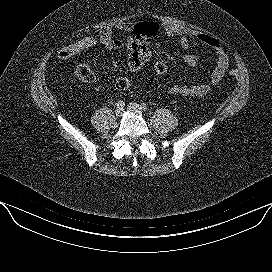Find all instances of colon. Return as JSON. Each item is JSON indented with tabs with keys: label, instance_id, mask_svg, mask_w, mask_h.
<instances>
[{
	"label": "colon",
	"instance_id": "obj_1",
	"mask_svg": "<svg viewBox=\"0 0 272 272\" xmlns=\"http://www.w3.org/2000/svg\"><path fill=\"white\" fill-rule=\"evenodd\" d=\"M159 27L155 22H141L135 26L134 33L141 38L142 41L146 42V39L155 35ZM108 41L97 34H86L76 38L68 45L62 46L57 51V57L61 60L70 59L86 50L92 49L98 45L106 46ZM168 67L165 61L157 60L154 64L153 74L161 77L167 73ZM229 75L233 78L238 77V71L232 69L229 71ZM74 76L81 82H90L94 78V71L88 64H79L74 69ZM132 86V80L127 77H121L116 80L115 87L118 90H126Z\"/></svg>",
	"mask_w": 272,
	"mask_h": 272
}]
</instances>
